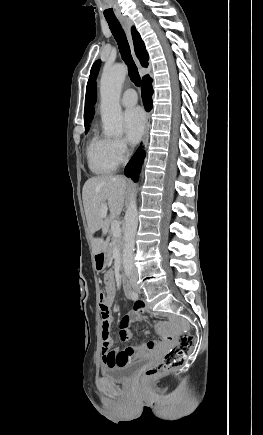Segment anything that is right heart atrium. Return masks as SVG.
Instances as JSON below:
<instances>
[{
	"mask_svg": "<svg viewBox=\"0 0 263 435\" xmlns=\"http://www.w3.org/2000/svg\"><path fill=\"white\" fill-rule=\"evenodd\" d=\"M112 152L118 163L123 162L129 155V146L123 139H113Z\"/></svg>",
	"mask_w": 263,
	"mask_h": 435,
	"instance_id": "right-heart-atrium-1",
	"label": "right heart atrium"
}]
</instances>
